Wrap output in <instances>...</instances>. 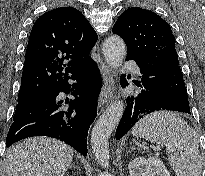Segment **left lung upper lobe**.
<instances>
[{"label": "left lung upper lobe", "mask_w": 205, "mask_h": 176, "mask_svg": "<svg viewBox=\"0 0 205 176\" xmlns=\"http://www.w3.org/2000/svg\"><path fill=\"white\" fill-rule=\"evenodd\" d=\"M113 33L123 38L127 55L144 64L178 65L175 38L169 24L152 11L129 8L115 25Z\"/></svg>", "instance_id": "1"}]
</instances>
